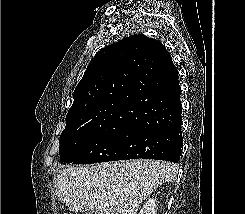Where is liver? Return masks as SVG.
Listing matches in <instances>:
<instances>
[{"label":"liver","instance_id":"1","mask_svg":"<svg viewBox=\"0 0 245 214\" xmlns=\"http://www.w3.org/2000/svg\"><path fill=\"white\" fill-rule=\"evenodd\" d=\"M177 172L176 165L153 160L68 167L57 175L56 193L71 212L137 214L140 203Z\"/></svg>","mask_w":245,"mask_h":214}]
</instances>
